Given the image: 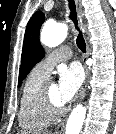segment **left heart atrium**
Segmentation results:
<instances>
[{
	"label": "left heart atrium",
	"instance_id": "39dd6f15",
	"mask_svg": "<svg viewBox=\"0 0 116 134\" xmlns=\"http://www.w3.org/2000/svg\"><path fill=\"white\" fill-rule=\"evenodd\" d=\"M83 80V70L80 65L76 63L59 69L58 93L61 104H66L74 98Z\"/></svg>",
	"mask_w": 116,
	"mask_h": 134
}]
</instances>
